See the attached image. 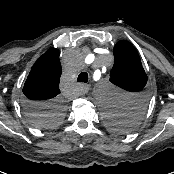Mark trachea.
Returning <instances> with one entry per match:
<instances>
[{"label":"trachea","instance_id":"trachea-1","mask_svg":"<svg viewBox=\"0 0 174 174\" xmlns=\"http://www.w3.org/2000/svg\"><path fill=\"white\" fill-rule=\"evenodd\" d=\"M77 81L87 83L88 82V74L86 72H81L77 78Z\"/></svg>","mask_w":174,"mask_h":174}]
</instances>
